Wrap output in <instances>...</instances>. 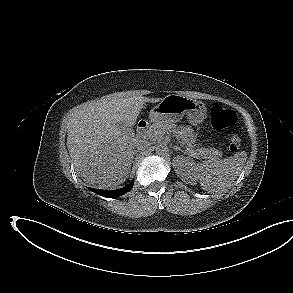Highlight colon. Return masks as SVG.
Instances as JSON below:
<instances>
[{"label": "colon", "mask_w": 293, "mask_h": 293, "mask_svg": "<svg viewBox=\"0 0 293 293\" xmlns=\"http://www.w3.org/2000/svg\"><path fill=\"white\" fill-rule=\"evenodd\" d=\"M210 120L212 126L217 130H225L234 125L237 115L233 110L226 109L218 104H214L210 110ZM243 146L242 139L234 133L228 136V148L231 152H236Z\"/></svg>", "instance_id": "colon-1"}]
</instances>
